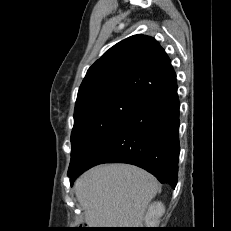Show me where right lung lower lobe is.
<instances>
[{"label": "right lung lower lobe", "instance_id": "98d812e1", "mask_svg": "<svg viewBox=\"0 0 231 231\" xmlns=\"http://www.w3.org/2000/svg\"><path fill=\"white\" fill-rule=\"evenodd\" d=\"M179 99L177 88L147 98L141 107L73 169L71 184L85 170L102 163H128L153 174L161 183L177 184L179 158Z\"/></svg>", "mask_w": 231, "mask_h": 231}]
</instances>
